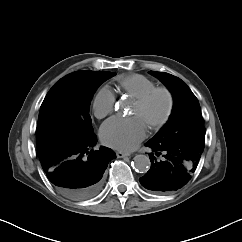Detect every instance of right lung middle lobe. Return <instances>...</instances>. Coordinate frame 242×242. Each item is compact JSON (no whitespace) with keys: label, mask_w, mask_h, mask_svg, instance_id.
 I'll return each mask as SVG.
<instances>
[{"label":"right lung middle lobe","mask_w":242,"mask_h":242,"mask_svg":"<svg viewBox=\"0 0 242 242\" xmlns=\"http://www.w3.org/2000/svg\"><path fill=\"white\" fill-rule=\"evenodd\" d=\"M112 72L91 71L83 77L65 76L47 93L39 112L36 140L54 137L81 140L93 133L89 106L96 89Z\"/></svg>","instance_id":"obj_1"}]
</instances>
